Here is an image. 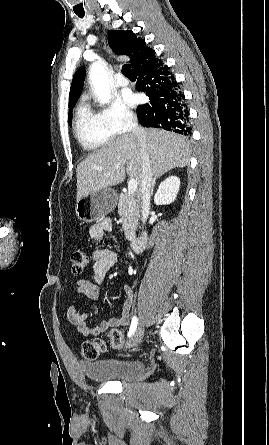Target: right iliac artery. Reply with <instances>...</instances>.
<instances>
[{"label":"right iliac artery","mask_w":269,"mask_h":445,"mask_svg":"<svg viewBox=\"0 0 269 445\" xmlns=\"http://www.w3.org/2000/svg\"><path fill=\"white\" fill-rule=\"evenodd\" d=\"M136 327H137V318H136V316H133L132 321H131L130 330L128 332L129 337L135 332Z\"/></svg>","instance_id":"right-iliac-artery-1"}]
</instances>
